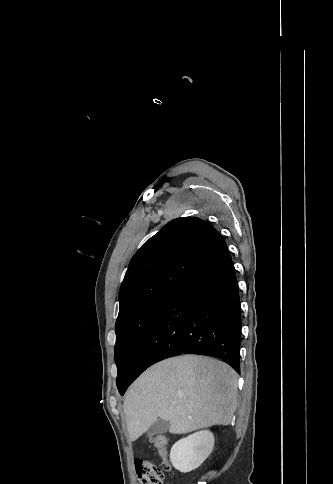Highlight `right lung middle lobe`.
Here are the masks:
<instances>
[{
	"mask_svg": "<svg viewBox=\"0 0 333 484\" xmlns=\"http://www.w3.org/2000/svg\"><path fill=\"white\" fill-rule=\"evenodd\" d=\"M174 293L175 290L161 292L118 317L115 324L116 344L114 350L118 368L116 384L119 391L123 390L128 382L131 364L139 344L158 313Z\"/></svg>",
	"mask_w": 333,
	"mask_h": 484,
	"instance_id": "dd1d6c3e",
	"label": "right lung middle lobe"
}]
</instances>
